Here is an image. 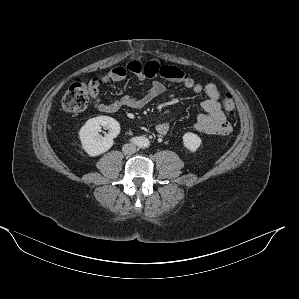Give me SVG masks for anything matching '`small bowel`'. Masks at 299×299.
Returning a JSON list of instances; mask_svg holds the SVG:
<instances>
[{
    "instance_id": "obj_1",
    "label": "small bowel",
    "mask_w": 299,
    "mask_h": 299,
    "mask_svg": "<svg viewBox=\"0 0 299 299\" xmlns=\"http://www.w3.org/2000/svg\"><path fill=\"white\" fill-rule=\"evenodd\" d=\"M128 74L134 75L139 80L162 78L180 84L196 94L203 93L206 97L201 104L203 113L198 115L194 129L206 135H225L231 131V126L221 109L220 91L215 84H201L178 67L160 65L154 61L142 64L137 60H131L127 65L115 67L91 81L90 93L93 107L104 113H114L122 107L138 109L147 105L165 91L163 82L154 80L149 89L140 96L125 95L109 103L103 102L100 96V86L110 82L122 81L126 79ZM169 130L170 126L166 122L159 123L156 126L157 133L162 136H166Z\"/></svg>"
}]
</instances>
